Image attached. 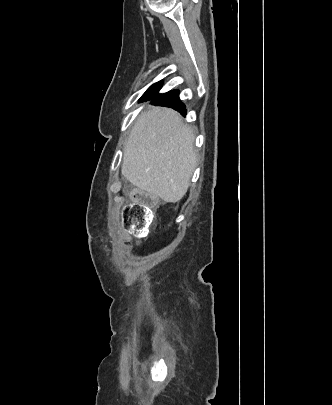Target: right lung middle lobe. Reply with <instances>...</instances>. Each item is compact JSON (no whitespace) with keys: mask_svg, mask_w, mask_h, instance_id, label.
<instances>
[{"mask_svg":"<svg viewBox=\"0 0 332 405\" xmlns=\"http://www.w3.org/2000/svg\"><path fill=\"white\" fill-rule=\"evenodd\" d=\"M161 88V83H155L153 84L147 91L146 94H150V93H157Z\"/></svg>","mask_w":332,"mask_h":405,"instance_id":"dd1d6c3e","label":"right lung middle lobe"}]
</instances>
